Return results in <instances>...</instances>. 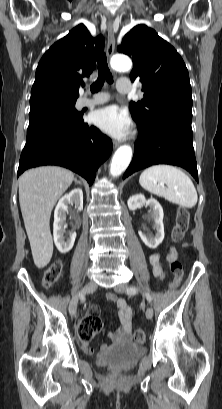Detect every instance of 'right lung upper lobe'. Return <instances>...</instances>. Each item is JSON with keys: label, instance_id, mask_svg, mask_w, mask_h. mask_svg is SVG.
<instances>
[{"label": "right lung upper lobe", "instance_id": "1", "mask_svg": "<svg viewBox=\"0 0 222 409\" xmlns=\"http://www.w3.org/2000/svg\"><path fill=\"white\" fill-rule=\"evenodd\" d=\"M104 47L102 35L92 37L80 24L54 43L41 58L31 90L30 107L53 102H76L82 77L96 67Z\"/></svg>", "mask_w": 222, "mask_h": 409}]
</instances>
